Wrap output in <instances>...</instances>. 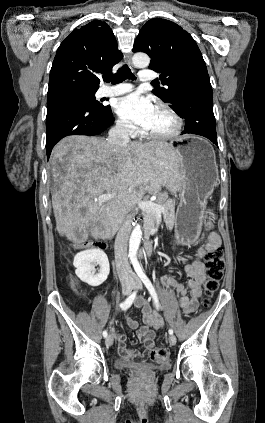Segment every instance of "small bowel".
<instances>
[{
  "label": "small bowel",
  "instance_id": "obj_1",
  "mask_svg": "<svg viewBox=\"0 0 265 423\" xmlns=\"http://www.w3.org/2000/svg\"><path fill=\"white\" fill-rule=\"evenodd\" d=\"M221 239L214 231L206 234V245L200 248L193 261L185 266V272L189 277L186 284L178 282L172 277H163L162 284L173 290L178 298V303L185 314H191L198 308V298L201 295V286L205 280V264L201 257L210 247H219ZM134 307L140 310L142 325L133 318L126 317V324L131 329L137 330V338L142 345V349L134 350L126 346L127 337L123 333H115L114 337L118 343V353L120 357L131 362L145 359L153 347L155 330L163 327V318L155 312L145 298L138 297L134 302Z\"/></svg>",
  "mask_w": 265,
  "mask_h": 423
}]
</instances>
